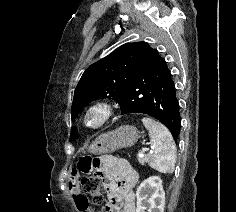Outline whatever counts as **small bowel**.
I'll return each instance as SVG.
<instances>
[{
	"label": "small bowel",
	"instance_id": "c3829d8e",
	"mask_svg": "<svg viewBox=\"0 0 236 212\" xmlns=\"http://www.w3.org/2000/svg\"><path fill=\"white\" fill-rule=\"evenodd\" d=\"M96 171L101 175L107 190L108 206L106 212H136L133 187L138 181V174L124 159L109 155L100 157ZM81 173L86 171L75 169L70 179V192L79 212H93L89 208L88 199L78 187Z\"/></svg>",
	"mask_w": 236,
	"mask_h": 212
}]
</instances>
